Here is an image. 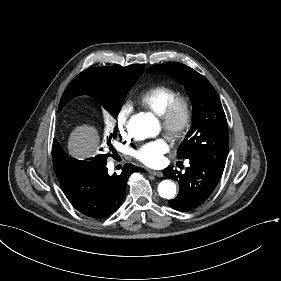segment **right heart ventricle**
<instances>
[{
	"instance_id": "right-heart-ventricle-1",
	"label": "right heart ventricle",
	"mask_w": 281,
	"mask_h": 281,
	"mask_svg": "<svg viewBox=\"0 0 281 281\" xmlns=\"http://www.w3.org/2000/svg\"><path fill=\"white\" fill-rule=\"evenodd\" d=\"M180 96L181 92L178 89L166 85H158L143 91L138 96L137 103L159 116L173 99Z\"/></svg>"
}]
</instances>
